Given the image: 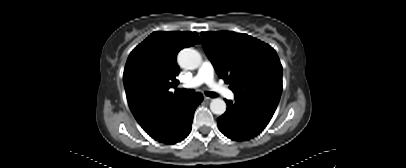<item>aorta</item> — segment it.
<instances>
[{
	"label": "aorta",
	"instance_id": "1",
	"mask_svg": "<svg viewBox=\"0 0 406 168\" xmlns=\"http://www.w3.org/2000/svg\"><path fill=\"white\" fill-rule=\"evenodd\" d=\"M180 67L185 69H196L202 63V57L198 51L193 48H185L181 50L177 57ZM212 113L222 115L226 111V103L221 98H215L210 103Z\"/></svg>",
	"mask_w": 406,
	"mask_h": 168
}]
</instances>
